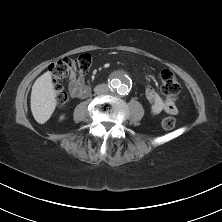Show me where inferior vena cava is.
<instances>
[{"label": "inferior vena cava", "instance_id": "obj_1", "mask_svg": "<svg viewBox=\"0 0 222 222\" xmlns=\"http://www.w3.org/2000/svg\"><path fill=\"white\" fill-rule=\"evenodd\" d=\"M109 91L110 89L107 84H99L94 88V92L97 95H106L109 93Z\"/></svg>", "mask_w": 222, "mask_h": 222}]
</instances>
